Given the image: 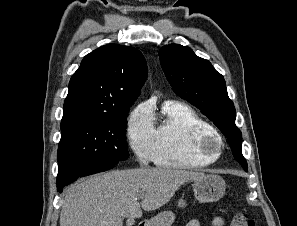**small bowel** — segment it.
Instances as JSON below:
<instances>
[{
  "instance_id": "c3829d8e",
  "label": "small bowel",
  "mask_w": 297,
  "mask_h": 226,
  "mask_svg": "<svg viewBox=\"0 0 297 226\" xmlns=\"http://www.w3.org/2000/svg\"><path fill=\"white\" fill-rule=\"evenodd\" d=\"M186 226H200V220L192 219ZM211 226H225L224 218L220 216L214 217L211 221Z\"/></svg>"
}]
</instances>
